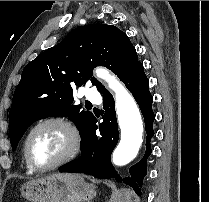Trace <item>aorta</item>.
<instances>
[{
  "mask_svg": "<svg viewBox=\"0 0 209 202\" xmlns=\"http://www.w3.org/2000/svg\"><path fill=\"white\" fill-rule=\"evenodd\" d=\"M95 72L98 78L107 82L108 87L115 94L121 138L113 152L112 162L115 165L123 166L137 156L141 146L143 135L141 114L134 98L114 75L103 68H99Z\"/></svg>",
  "mask_w": 209,
  "mask_h": 202,
  "instance_id": "obj_1",
  "label": "aorta"
}]
</instances>
